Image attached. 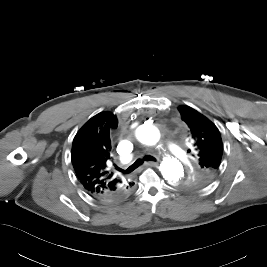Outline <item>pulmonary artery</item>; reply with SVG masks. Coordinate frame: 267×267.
<instances>
[{"instance_id": "obj_1", "label": "pulmonary artery", "mask_w": 267, "mask_h": 267, "mask_svg": "<svg viewBox=\"0 0 267 267\" xmlns=\"http://www.w3.org/2000/svg\"><path fill=\"white\" fill-rule=\"evenodd\" d=\"M165 147L169 150V151H171V152H173V153H176L177 152V150L175 149V148H173L172 146H170V145H165ZM131 159V157H128V160H130Z\"/></svg>"}]
</instances>
